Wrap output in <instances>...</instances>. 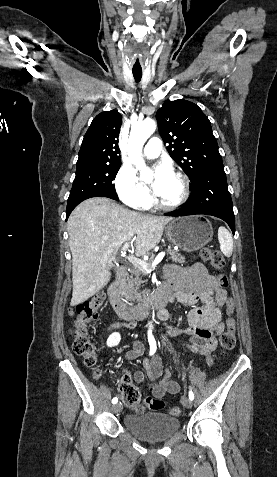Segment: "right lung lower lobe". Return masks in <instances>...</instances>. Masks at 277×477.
<instances>
[{
  "label": "right lung lower lobe",
  "instance_id": "1",
  "mask_svg": "<svg viewBox=\"0 0 277 477\" xmlns=\"http://www.w3.org/2000/svg\"><path fill=\"white\" fill-rule=\"evenodd\" d=\"M71 213V212H70ZM70 213H66V219L69 217Z\"/></svg>",
  "mask_w": 277,
  "mask_h": 477
}]
</instances>
